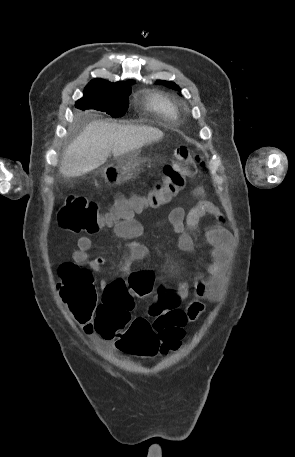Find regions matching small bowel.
<instances>
[{"label":"small bowel","instance_id":"obj_1","mask_svg":"<svg viewBox=\"0 0 295 457\" xmlns=\"http://www.w3.org/2000/svg\"><path fill=\"white\" fill-rule=\"evenodd\" d=\"M193 193L196 197L201 198L194 207L187 212L181 207H175L169 213V221L172 228L179 235V250L183 252L194 250L195 240L193 233L203 217L207 215L213 216L219 222V225L209 228L203 238L204 242L209 246L210 262L205 268L207 277L198 276L192 287L185 282L180 283L172 296L173 300L180 304L188 298L192 289L195 300L185 309L187 324L195 322L205 311L203 300H214L217 297L231 243V235L222 226L224 217L218 208L212 202L203 198L205 193L201 187L195 188ZM112 231L114 236L119 239L131 240L129 254L122 265L123 273H128L133 263L144 260L149 254L147 246L136 240L143 235V225L132 216L114 224ZM91 248V238L88 236L80 237L78 239V249L73 253V259L79 265L87 264L92 270L99 271L105 264V259L100 256L89 259L88 252ZM100 285L101 288L105 289L109 284L106 281H102ZM76 320L85 334L89 335L95 332L91 321Z\"/></svg>","mask_w":295,"mask_h":457}]
</instances>
